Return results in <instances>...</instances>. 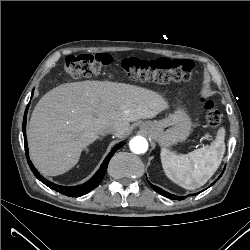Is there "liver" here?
Here are the masks:
<instances>
[{
	"label": "liver",
	"mask_w": 250,
	"mask_h": 250,
	"mask_svg": "<svg viewBox=\"0 0 250 250\" xmlns=\"http://www.w3.org/2000/svg\"><path fill=\"white\" fill-rule=\"evenodd\" d=\"M168 109L158 93L125 83L81 81L47 92L35 106L27 130L30 158L45 175L66 173L81 152L110 125L123 138L130 122L156 117Z\"/></svg>",
	"instance_id": "obj_1"
}]
</instances>
